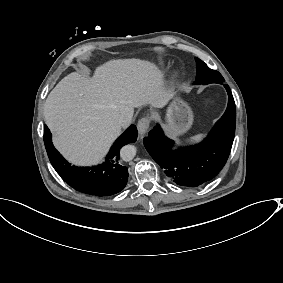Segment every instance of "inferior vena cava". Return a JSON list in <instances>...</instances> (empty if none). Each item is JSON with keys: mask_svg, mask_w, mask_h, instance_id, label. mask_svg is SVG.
<instances>
[{"mask_svg": "<svg viewBox=\"0 0 283 283\" xmlns=\"http://www.w3.org/2000/svg\"><path fill=\"white\" fill-rule=\"evenodd\" d=\"M118 123L121 127H127L130 122L125 117H121Z\"/></svg>", "mask_w": 283, "mask_h": 283, "instance_id": "inferior-vena-cava-1", "label": "inferior vena cava"}]
</instances>
